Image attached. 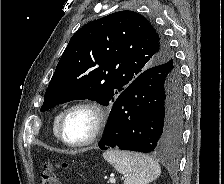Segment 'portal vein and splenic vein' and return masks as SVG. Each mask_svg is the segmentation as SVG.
I'll list each match as a JSON object with an SVG mask.
<instances>
[{"label":"portal vein and splenic vein","mask_w":224,"mask_h":184,"mask_svg":"<svg viewBox=\"0 0 224 184\" xmlns=\"http://www.w3.org/2000/svg\"><path fill=\"white\" fill-rule=\"evenodd\" d=\"M109 181H110V183L115 184L116 179H115L114 177H111V178L109 179Z\"/></svg>","instance_id":"obj_1"}]
</instances>
